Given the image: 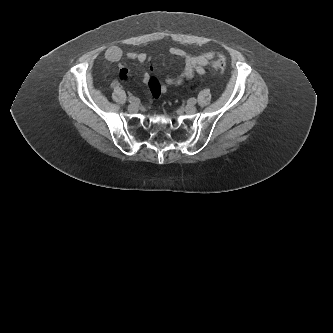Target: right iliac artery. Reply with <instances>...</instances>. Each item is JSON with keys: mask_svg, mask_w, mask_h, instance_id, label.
Instances as JSON below:
<instances>
[{"mask_svg": "<svg viewBox=\"0 0 333 333\" xmlns=\"http://www.w3.org/2000/svg\"><path fill=\"white\" fill-rule=\"evenodd\" d=\"M128 100H129L130 103H136V104H137V103L139 102V99H138V98H135V97H133V96L129 97Z\"/></svg>", "mask_w": 333, "mask_h": 333, "instance_id": "right-iliac-artery-1", "label": "right iliac artery"}]
</instances>
